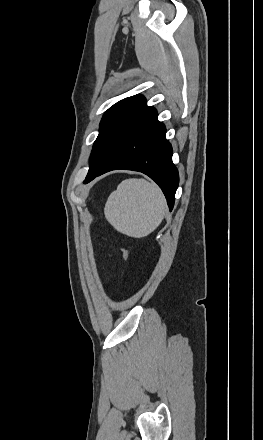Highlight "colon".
<instances>
[{
	"label": "colon",
	"mask_w": 263,
	"mask_h": 440,
	"mask_svg": "<svg viewBox=\"0 0 263 440\" xmlns=\"http://www.w3.org/2000/svg\"><path fill=\"white\" fill-rule=\"evenodd\" d=\"M122 254L125 261L129 260V251L126 248H122Z\"/></svg>",
	"instance_id": "5ec220e1"
}]
</instances>
